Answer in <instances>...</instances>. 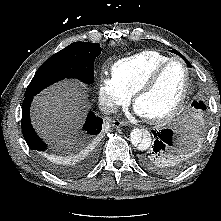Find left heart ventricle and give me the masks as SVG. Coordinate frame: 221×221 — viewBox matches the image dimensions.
<instances>
[{
	"instance_id": "1",
	"label": "left heart ventricle",
	"mask_w": 221,
	"mask_h": 221,
	"mask_svg": "<svg viewBox=\"0 0 221 221\" xmlns=\"http://www.w3.org/2000/svg\"><path fill=\"white\" fill-rule=\"evenodd\" d=\"M186 84L181 62H173L162 74L155 87L143 95L136 107L145 117H156L170 111L180 99Z\"/></svg>"
}]
</instances>
